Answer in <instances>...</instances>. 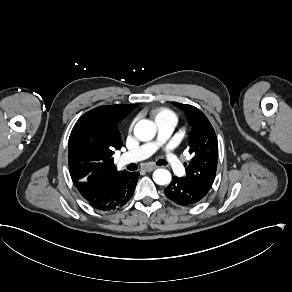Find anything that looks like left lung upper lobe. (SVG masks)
I'll list each match as a JSON object with an SVG mask.
<instances>
[{
  "mask_svg": "<svg viewBox=\"0 0 292 292\" xmlns=\"http://www.w3.org/2000/svg\"><path fill=\"white\" fill-rule=\"evenodd\" d=\"M188 118L190 133L188 149L192 156L186 167V176L181 177L189 185L208 190L215 179L218 161V141L208 118L192 105L173 102Z\"/></svg>",
  "mask_w": 292,
  "mask_h": 292,
  "instance_id": "1",
  "label": "left lung upper lobe"
}]
</instances>
